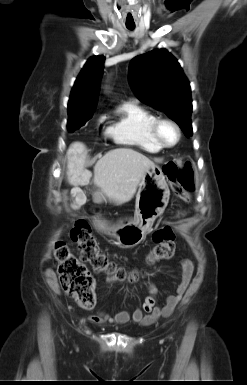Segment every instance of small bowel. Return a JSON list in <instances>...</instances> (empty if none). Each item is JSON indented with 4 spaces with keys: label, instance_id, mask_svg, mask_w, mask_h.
Listing matches in <instances>:
<instances>
[{
    "label": "small bowel",
    "instance_id": "obj_1",
    "mask_svg": "<svg viewBox=\"0 0 247 385\" xmlns=\"http://www.w3.org/2000/svg\"><path fill=\"white\" fill-rule=\"evenodd\" d=\"M194 271V263L190 259H184L180 262V280L173 295L167 298L164 306L156 305V287L149 283L147 288L148 296L145 298L141 308H137L130 312L122 310L114 315H110L104 311H97L95 314L89 316V320L96 324L115 323L125 324L129 321H134L139 324H151L160 317H169L173 314L175 309L181 302L183 295L190 283ZM112 278L108 277L107 282L111 283ZM148 313V315H145Z\"/></svg>",
    "mask_w": 247,
    "mask_h": 385
}]
</instances>
